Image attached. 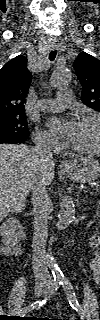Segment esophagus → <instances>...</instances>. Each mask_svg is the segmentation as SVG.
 Masks as SVG:
<instances>
[{"label": "esophagus", "instance_id": "esophagus-1", "mask_svg": "<svg viewBox=\"0 0 100 320\" xmlns=\"http://www.w3.org/2000/svg\"><path fill=\"white\" fill-rule=\"evenodd\" d=\"M52 47H55L54 45H52ZM67 166V162H63L62 163V167H66Z\"/></svg>", "mask_w": 100, "mask_h": 320}]
</instances>
